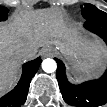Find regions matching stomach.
<instances>
[{
	"label": "stomach",
	"instance_id": "obj_1",
	"mask_svg": "<svg viewBox=\"0 0 107 107\" xmlns=\"http://www.w3.org/2000/svg\"><path fill=\"white\" fill-rule=\"evenodd\" d=\"M76 47H71V46H56V50L60 53H62L64 56L68 57L69 60L73 61L72 56L76 52Z\"/></svg>",
	"mask_w": 107,
	"mask_h": 107
}]
</instances>
